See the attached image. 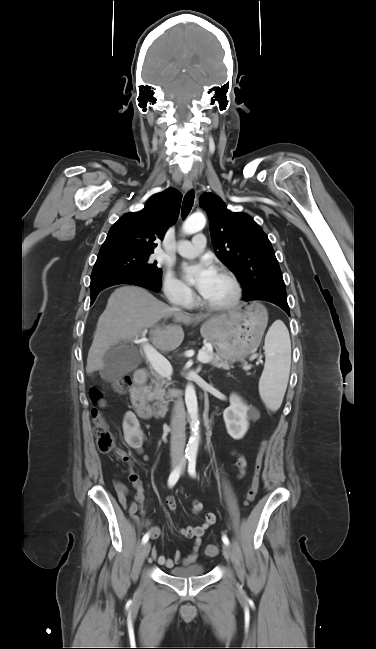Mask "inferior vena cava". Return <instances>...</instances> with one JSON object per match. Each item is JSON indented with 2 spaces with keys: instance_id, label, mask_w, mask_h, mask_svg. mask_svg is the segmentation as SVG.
Masks as SVG:
<instances>
[{
  "instance_id": "inferior-vena-cava-1",
  "label": "inferior vena cava",
  "mask_w": 376,
  "mask_h": 649,
  "mask_svg": "<svg viewBox=\"0 0 376 649\" xmlns=\"http://www.w3.org/2000/svg\"><path fill=\"white\" fill-rule=\"evenodd\" d=\"M176 416L172 422V436L170 442L171 455L183 456L185 445V421L181 417L183 414V402L178 399L175 405Z\"/></svg>"
}]
</instances>
